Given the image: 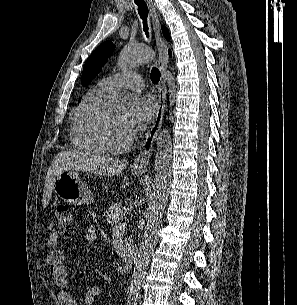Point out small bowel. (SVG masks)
Instances as JSON below:
<instances>
[{
  "mask_svg": "<svg viewBox=\"0 0 297 305\" xmlns=\"http://www.w3.org/2000/svg\"><path fill=\"white\" fill-rule=\"evenodd\" d=\"M86 238L92 244L96 242V235L92 229L86 232ZM47 246L50 248L47 254V265L53 281L59 288L61 305H79L77 298L69 291L70 280L65 266V256L62 251L55 248L56 240L53 235L49 236ZM104 292L101 287H91L85 294L84 303L93 305L95 298L103 295Z\"/></svg>",
  "mask_w": 297,
  "mask_h": 305,
  "instance_id": "small-bowel-1",
  "label": "small bowel"
}]
</instances>
